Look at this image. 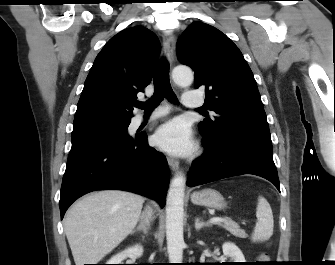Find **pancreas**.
Returning <instances> with one entry per match:
<instances>
[{"instance_id": "cf45deb5", "label": "pancreas", "mask_w": 335, "mask_h": 265, "mask_svg": "<svg viewBox=\"0 0 335 265\" xmlns=\"http://www.w3.org/2000/svg\"><path fill=\"white\" fill-rule=\"evenodd\" d=\"M218 224L220 226H222L223 228H225L227 231H229L232 235H234L236 237H239V238H246L247 237L244 230H242L236 222H234L233 220H231L229 218H225L222 223H218Z\"/></svg>"}]
</instances>
